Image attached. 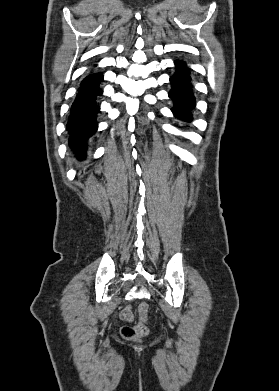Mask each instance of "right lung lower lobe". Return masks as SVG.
Listing matches in <instances>:
<instances>
[{"instance_id": "obj_1", "label": "right lung lower lobe", "mask_w": 279, "mask_h": 391, "mask_svg": "<svg viewBox=\"0 0 279 391\" xmlns=\"http://www.w3.org/2000/svg\"><path fill=\"white\" fill-rule=\"evenodd\" d=\"M102 80L100 73L90 74L83 79L71 107L67 123L69 145L75 150L78 159L85 158L87 139L97 131L96 116L100 107L96 99L102 94L99 88Z\"/></svg>"}]
</instances>
